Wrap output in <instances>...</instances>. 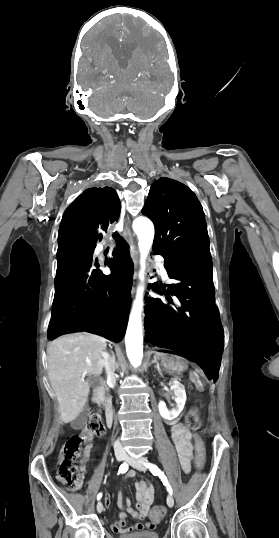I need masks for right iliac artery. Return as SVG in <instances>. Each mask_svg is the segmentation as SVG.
<instances>
[{
	"mask_svg": "<svg viewBox=\"0 0 279 538\" xmlns=\"http://www.w3.org/2000/svg\"><path fill=\"white\" fill-rule=\"evenodd\" d=\"M128 470V464L126 462H124L123 464H121V466L119 467V473H125L126 471ZM102 497V493H99L97 495V500H100Z\"/></svg>",
	"mask_w": 279,
	"mask_h": 538,
	"instance_id": "1",
	"label": "right iliac artery"
}]
</instances>
